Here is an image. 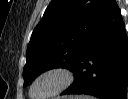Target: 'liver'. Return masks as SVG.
<instances>
[{
  "mask_svg": "<svg viewBox=\"0 0 128 99\" xmlns=\"http://www.w3.org/2000/svg\"><path fill=\"white\" fill-rule=\"evenodd\" d=\"M82 97H70V99H81Z\"/></svg>",
  "mask_w": 128,
  "mask_h": 99,
  "instance_id": "obj_1",
  "label": "liver"
}]
</instances>
